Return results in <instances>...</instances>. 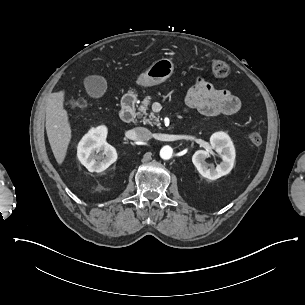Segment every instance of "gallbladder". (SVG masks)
I'll return each instance as SVG.
<instances>
[{"label":"gallbladder","mask_w":305,"mask_h":305,"mask_svg":"<svg viewBox=\"0 0 305 305\" xmlns=\"http://www.w3.org/2000/svg\"><path fill=\"white\" fill-rule=\"evenodd\" d=\"M86 94L92 99H100L108 89V83L102 75H88L83 80Z\"/></svg>","instance_id":"obj_1"}]
</instances>
